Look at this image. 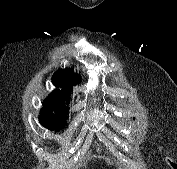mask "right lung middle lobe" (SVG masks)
Masks as SVG:
<instances>
[{
  "label": "right lung middle lobe",
  "mask_w": 177,
  "mask_h": 169,
  "mask_svg": "<svg viewBox=\"0 0 177 169\" xmlns=\"http://www.w3.org/2000/svg\"><path fill=\"white\" fill-rule=\"evenodd\" d=\"M45 109H47V111L45 110L43 113H41L39 116V122L49 130L59 131L63 129L65 126V118L67 114V108L65 104ZM49 111H54L56 114L53 115L52 112Z\"/></svg>",
  "instance_id": "dd1d6c3e"
}]
</instances>
